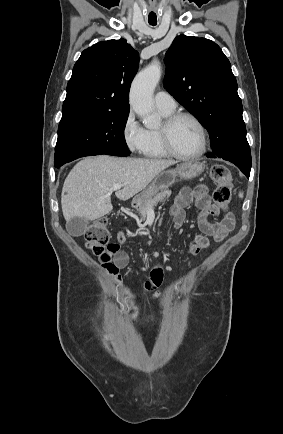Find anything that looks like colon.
I'll use <instances>...</instances> for the list:
<instances>
[{"label": "colon", "instance_id": "obj_1", "mask_svg": "<svg viewBox=\"0 0 283 434\" xmlns=\"http://www.w3.org/2000/svg\"><path fill=\"white\" fill-rule=\"evenodd\" d=\"M212 181L216 184L213 201L221 209H227L232 198V178L230 170L222 164L213 165L210 170ZM87 246L96 255H102L109 246L110 233L106 218L95 221L85 233Z\"/></svg>", "mask_w": 283, "mask_h": 434}]
</instances>
